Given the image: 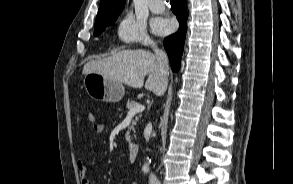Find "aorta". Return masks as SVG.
<instances>
[{
  "label": "aorta",
  "mask_w": 293,
  "mask_h": 184,
  "mask_svg": "<svg viewBox=\"0 0 293 184\" xmlns=\"http://www.w3.org/2000/svg\"><path fill=\"white\" fill-rule=\"evenodd\" d=\"M142 171L144 173H147L149 171V163H145L143 166H142Z\"/></svg>",
  "instance_id": "1"
}]
</instances>
